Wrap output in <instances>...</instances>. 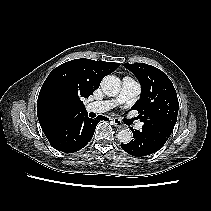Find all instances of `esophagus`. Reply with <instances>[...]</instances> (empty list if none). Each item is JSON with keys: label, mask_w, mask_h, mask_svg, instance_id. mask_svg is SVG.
<instances>
[{"label": "esophagus", "mask_w": 211, "mask_h": 211, "mask_svg": "<svg viewBox=\"0 0 211 211\" xmlns=\"http://www.w3.org/2000/svg\"><path fill=\"white\" fill-rule=\"evenodd\" d=\"M112 122H113V124H114L115 127H119V128H122L123 127L122 122L119 119H117V118H113L112 119Z\"/></svg>", "instance_id": "obj_1"}]
</instances>
